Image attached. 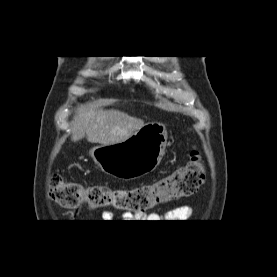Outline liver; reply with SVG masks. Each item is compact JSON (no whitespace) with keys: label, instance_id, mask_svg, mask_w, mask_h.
<instances>
[{"label":"liver","instance_id":"liver-1","mask_svg":"<svg viewBox=\"0 0 277 277\" xmlns=\"http://www.w3.org/2000/svg\"><path fill=\"white\" fill-rule=\"evenodd\" d=\"M143 126V120L117 110L83 108L73 117L71 140L77 142L86 136L91 143L115 144L127 140Z\"/></svg>","mask_w":277,"mask_h":277}]
</instances>
